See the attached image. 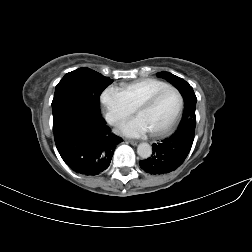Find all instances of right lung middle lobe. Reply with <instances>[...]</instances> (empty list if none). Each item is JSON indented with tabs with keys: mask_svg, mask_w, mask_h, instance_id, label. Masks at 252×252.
Returning a JSON list of instances; mask_svg holds the SVG:
<instances>
[{
	"mask_svg": "<svg viewBox=\"0 0 252 252\" xmlns=\"http://www.w3.org/2000/svg\"><path fill=\"white\" fill-rule=\"evenodd\" d=\"M112 82L113 80L109 77L89 68H80L69 72L55 88L52 111L73 106L100 115V94Z\"/></svg>",
	"mask_w": 252,
	"mask_h": 252,
	"instance_id": "obj_1",
	"label": "right lung middle lobe"
}]
</instances>
